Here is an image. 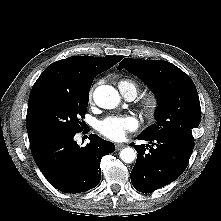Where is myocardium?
I'll use <instances>...</instances> for the list:
<instances>
[{
  "label": "myocardium",
  "instance_id": "f54148a6",
  "mask_svg": "<svg viewBox=\"0 0 221 221\" xmlns=\"http://www.w3.org/2000/svg\"><path fill=\"white\" fill-rule=\"evenodd\" d=\"M140 107L147 118H154L160 109V99L155 93H147L142 97Z\"/></svg>",
  "mask_w": 221,
  "mask_h": 221
}]
</instances>
